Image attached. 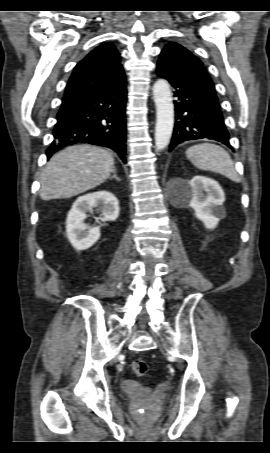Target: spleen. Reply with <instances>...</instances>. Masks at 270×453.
<instances>
[{
    "label": "spleen",
    "instance_id": "spleen-1",
    "mask_svg": "<svg viewBox=\"0 0 270 453\" xmlns=\"http://www.w3.org/2000/svg\"><path fill=\"white\" fill-rule=\"evenodd\" d=\"M186 157L200 170L220 173L234 182H240L234 162L228 152L219 145L196 144L186 150Z\"/></svg>",
    "mask_w": 270,
    "mask_h": 453
}]
</instances>
